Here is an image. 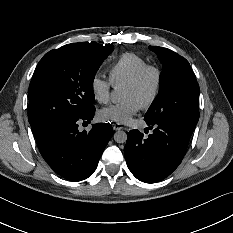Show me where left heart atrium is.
I'll list each match as a JSON object with an SVG mask.
<instances>
[{
    "mask_svg": "<svg viewBox=\"0 0 233 233\" xmlns=\"http://www.w3.org/2000/svg\"><path fill=\"white\" fill-rule=\"evenodd\" d=\"M142 108L136 99L129 98L119 104L112 105L99 111V118L104 121L127 123Z\"/></svg>",
    "mask_w": 233,
    "mask_h": 233,
    "instance_id": "obj_1",
    "label": "left heart atrium"
}]
</instances>
